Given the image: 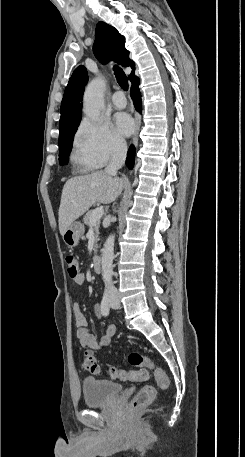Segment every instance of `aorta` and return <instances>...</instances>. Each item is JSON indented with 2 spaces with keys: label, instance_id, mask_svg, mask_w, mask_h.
<instances>
[{
  "label": "aorta",
  "instance_id": "762f6f07",
  "mask_svg": "<svg viewBox=\"0 0 245 457\" xmlns=\"http://www.w3.org/2000/svg\"><path fill=\"white\" fill-rule=\"evenodd\" d=\"M105 82L102 78L93 79L84 93V113L92 120H99L101 109L104 106ZM115 236L109 235L102 249L101 265L102 278L105 284L112 280Z\"/></svg>",
  "mask_w": 245,
  "mask_h": 457
}]
</instances>
